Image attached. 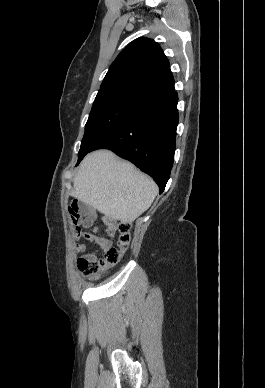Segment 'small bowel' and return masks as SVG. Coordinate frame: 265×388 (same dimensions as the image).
I'll return each mask as SVG.
<instances>
[{"label": "small bowel", "instance_id": "small-bowel-1", "mask_svg": "<svg viewBox=\"0 0 265 388\" xmlns=\"http://www.w3.org/2000/svg\"><path fill=\"white\" fill-rule=\"evenodd\" d=\"M96 217L95 213H90L87 217L86 223L90 224ZM103 223L106 226V232L108 235L113 236L116 231V226L113 220L109 217L103 218ZM96 229L93 232L86 234L85 239L95 244L101 250H108L110 247V241L104 237H99L95 234ZM76 251L84 252L86 251V246L84 244H79L76 246ZM83 258L90 260H97V254L95 252L86 253Z\"/></svg>", "mask_w": 265, "mask_h": 388}]
</instances>
